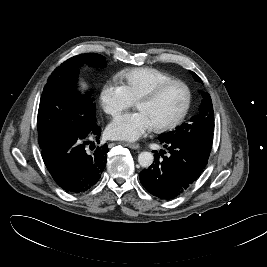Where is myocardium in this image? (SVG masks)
<instances>
[{"mask_svg": "<svg viewBox=\"0 0 267 267\" xmlns=\"http://www.w3.org/2000/svg\"><path fill=\"white\" fill-rule=\"evenodd\" d=\"M174 85H179V86H182L184 88L185 93H186L185 105H184L182 111L180 112V114L174 120H172L171 122L166 123L164 125L152 127L151 129L155 133H165V132L171 131L183 123V121L185 120V118L187 117V115L189 113L191 103H192V93H191L189 86L181 80L172 79V80H169V81H166V82H163V83L157 85L152 90L146 92L145 94L141 95L139 98H137L135 100V103H134L135 106L139 103L153 101L164 90H166L167 88L174 86Z\"/></svg>", "mask_w": 267, "mask_h": 267, "instance_id": "obj_1", "label": "myocardium"}]
</instances>
